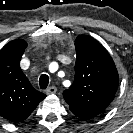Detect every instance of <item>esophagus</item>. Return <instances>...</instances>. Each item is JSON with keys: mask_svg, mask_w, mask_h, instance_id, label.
Listing matches in <instances>:
<instances>
[{"mask_svg": "<svg viewBox=\"0 0 133 133\" xmlns=\"http://www.w3.org/2000/svg\"><path fill=\"white\" fill-rule=\"evenodd\" d=\"M57 92V88L55 86H50L49 88L46 89V94H55Z\"/></svg>", "mask_w": 133, "mask_h": 133, "instance_id": "esophagus-1", "label": "esophagus"}]
</instances>
